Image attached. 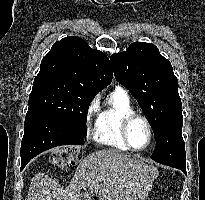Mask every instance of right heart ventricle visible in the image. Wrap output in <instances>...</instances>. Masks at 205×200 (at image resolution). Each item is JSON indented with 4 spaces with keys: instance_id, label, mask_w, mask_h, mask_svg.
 <instances>
[{
    "instance_id": "1",
    "label": "right heart ventricle",
    "mask_w": 205,
    "mask_h": 200,
    "mask_svg": "<svg viewBox=\"0 0 205 200\" xmlns=\"http://www.w3.org/2000/svg\"><path fill=\"white\" fill-rule=\"evenodd\" d=\"M134 112L128 94L116 88L99 110L95 130L96 141L117 150H130L121 136V123L127 115Z\"/></svg>"
}]
</instances>
